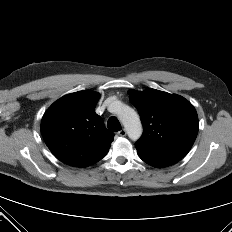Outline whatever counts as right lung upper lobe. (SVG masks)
Returning <instances> with one entry per match:
<instances>
[{"label":"right lung upper lobe","mask_w":232,"mask_h":232,"mask_svg":"<svg viewBox=\"0 0 232 232\" xmlns=\"http://www.w3.org/2000/svg\"><path fill=\"white\" fill-rule=\"evenodd\" d=\"M99 93L79 91L65 95L44 113L41 133L52 154L73 167H87L108 152L114 134L94 109Z\"/></svg>","instance_id":"1"}]
</instances>
